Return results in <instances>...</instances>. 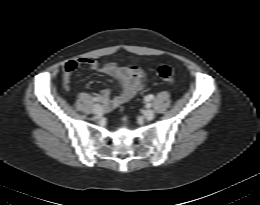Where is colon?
Here are the masks:
<instances>
[{
  "label": "colon",
  "mask_w": 260,
  "mask_h": 205,
  "mask_svg": "<svg viewBox=\"0 0 260 205\" xmlns=\"http://www.w3.org/2000/svg\"><path fill=\"white\" fill-rule=\"evenodd\" d=\"M156 74L159 78L169 84H173L175 81L174 71L169 65L159 64L156 67Z\"/></svg>",
  "instance_id": "obj_1"
}]
</instances>
